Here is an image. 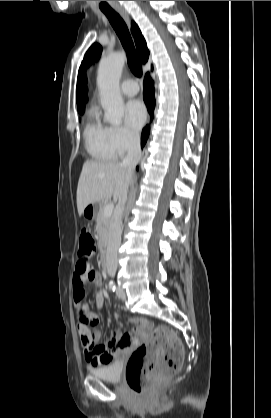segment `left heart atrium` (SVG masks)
<instances>
[{
    "instance_id": "1",
    "label": "left heart atrium",
    "mask_w": 271,
    "mask_h": 418,
    "mask_svg": "<svg viewBox=\"0 0 271 418\" xmlns=\"http://www.w3.org/2000/svg\"><path fill=\"white\" fill-rule=\"evenodd\" d=\"M125 120L134 131H138L146 120V110L139 100H131L125 107Z\"/></svg>"
}]
</instances>
